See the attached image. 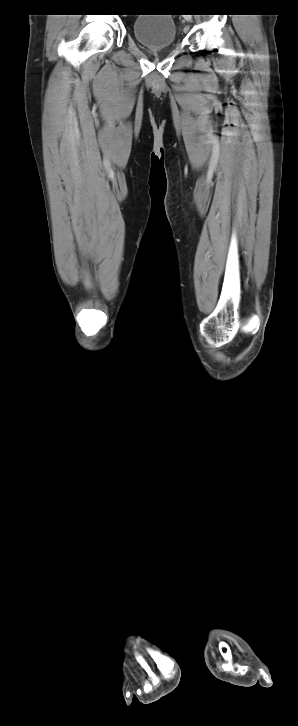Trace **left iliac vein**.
Instances as JSON below:
<instances>
[{
    "mask_svg": "<svg viewBox=\"0 0 298 726\" xmlns=\"http://www.w3.org/2000/svg\"><path fill=\"white\" fill-rule=\"evenodd\" d=\"M186 19H187V21H190V20H191V17H190V16H188V17H187ZM185 30H186V29H185Z\"/></svg>",
    "mask_w": 298,
    "mask_h": 726,
    "instance_id": "obj_1",
    "label": "left iliac vein"
}]
</instances>
